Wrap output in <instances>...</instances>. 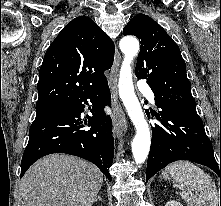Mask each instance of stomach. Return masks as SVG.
I'll return each instance as SVG.
<instances>
[{
    "label": "stomach",
    "instance_id": "0dacf381",
    "mask_svg": "<svg viewBox=\"0 0 221 206\" xmlns=\"http://www.w3.org/2000/svg\"><path fill=\"white\" fill-rule=\"evenodd\" d=\"M173 176L169 172H163L161 174V179L170 180Z\"/></svg>",
    "mask_w": 221,
    "mask_h": 206
}]
</instances>
